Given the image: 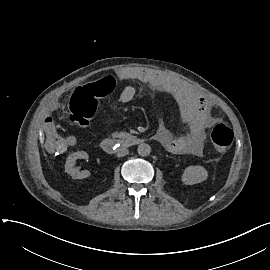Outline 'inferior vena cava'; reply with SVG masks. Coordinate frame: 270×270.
<instances>
[{
	"label": "inferior vena cava",
	"mask_w": 270,
	"mask_h": 270,
	"mask_svg": "<svg viewBox=\"0 0 270 270\" xmlns=\"http://www.w3.org/2000/svg\"><path fill=\"white\" fill-rule=\"evenodd\" d=\"M129 153L128 149H120L117 153V157H123V156H126L127 154Z\"/></svg>",
	"instance_id": "1"
}]
</instances>
